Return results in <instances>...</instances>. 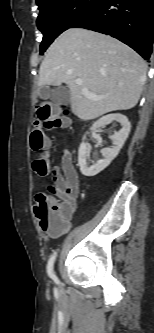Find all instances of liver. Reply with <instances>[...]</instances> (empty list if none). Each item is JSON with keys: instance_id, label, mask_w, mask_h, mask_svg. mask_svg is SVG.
<instances>
[{"instance_id": "obj_1", "label": "liver", "mask_w": 154, "mask_h": 333, "mask_svg": "<svg viewBox=\"0 0 154 333\" xmlns=\"http://www.w3.org/2000/svg\"><path fill=\"white\" fill-rule=\"evenodd\" d=\"M144 59L121 41L95 31L70 28L47 50L38 86L67 84L71 110L82 120L135 107L146 80ZM81 79L82 85L76 80ZM83 89L102 97L93 100Z\"/></svg>"}]
</instances>
